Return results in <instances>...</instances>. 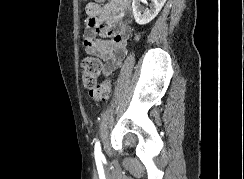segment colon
Listing matches in <instances>:
<instances>
[{"instance_id": "1", "label": "colon", "mask_w": 244, "mask_h": 179, "mask_svg": "<svg viewBox=\"0 0 244 179\" xmlns=\"http://www.w3.org/2000/svg\"><path fill=\"white\" fill-rule=\"evenodd\" d=\"M104 3L105 0H99ZM101 61L97 57H89L81 62L82 82L89 91V97L93 102L103 103L111 96L112 80L108 79L98 83Z\"/></svg>"}]
</instances>
